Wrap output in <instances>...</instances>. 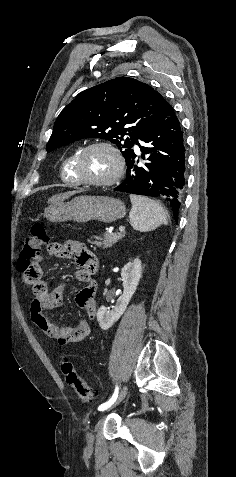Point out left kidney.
<instances>
[{"mask_svg":"<svg viewBox=\"0 0 236 477\" xmlns=\"http://www.w3.org/2000/svg\"><path fill=\"white\" fill-rule=\"evenodd\" d=\"M142 275V265L140 259L128 262L121 270L123 281V294L118 298L112 310L101 306L97 312V321L103 330H107L123 315L133 294L135 293Z\"/></svg>","mask_w":236,"mask_h":477,"instance_id":"5707ae66","label":"left kidney"}]
</instances>
